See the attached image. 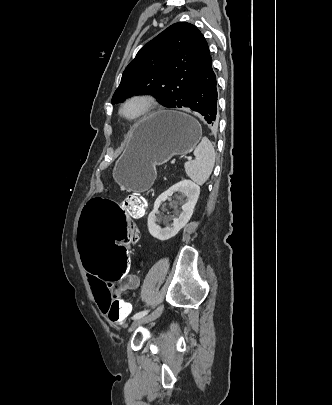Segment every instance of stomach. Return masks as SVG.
<instances>
[{
	"instance_id": "obj_1",
	"label": "stomach",
	"mask_w": 332,
	"mask_h": 405,
	"mask_svg": "<svg viewBox=\"0 0 332 405\" xmlns=\"http://www.w3.org/2000/svg\"><path fill=\"white\" fill-rule=\"evenodd\" d=\"M201 138V125L188 113L156 112L134 125L127 148L114 166L113 178L124 190L145 191L156 177L157 165L188 154Z\"/></svg>"
}]
</instances>
